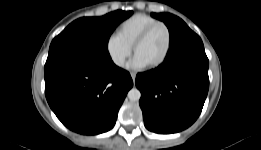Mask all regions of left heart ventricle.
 Wrapping results in <instances>:
<instances>
[{
	"mask_svg": "<svg viewBox=\"0 0 261 150\" xmlns=\"http://www.w3.org/2000/svg\"><path fill=\"white\" fill-rule=\"evenodd\" d=\"M166 47V30L163 27H157L137 48L135 55L143 60L147 66H150L164 55Z\"/></svg>",
	"mask_w": 261,
	"mask_h": 150,
	"instance_id": "1",
	"label": "left heart ventricle"
}]
</instances>
